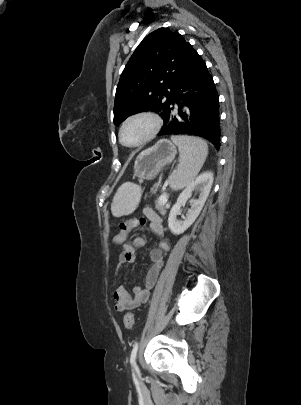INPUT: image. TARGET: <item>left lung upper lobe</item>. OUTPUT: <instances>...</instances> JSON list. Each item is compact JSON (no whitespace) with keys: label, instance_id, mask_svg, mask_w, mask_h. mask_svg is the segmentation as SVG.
Instances as JSON below:
<instances>
[{"label":"left lung upper lobe","instance_id":"obj_1","mask_svg":"<svg viewBox=\"0 0 301 405\" xmlns=\"http://www.w3.org/2000/svg\"><path fill=\"white\" fill-rule=\"evenodd\" d=\"M195 49L179 33L159 28L130 57L117 85L114 124L136 112L153 111L165 120L177 85Z\"/></svg>","mask_w":301,"mask_h":405}]
</instances>
